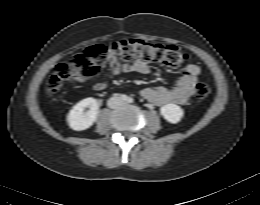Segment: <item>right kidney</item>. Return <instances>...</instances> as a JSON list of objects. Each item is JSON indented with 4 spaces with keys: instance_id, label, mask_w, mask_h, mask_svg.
<instances>
[{
    "instance_id": "right-kidney-1",
    "label": "right kidney",
    "mask_w": 260,
    "mask_h": 205,
    "mask_svg": "<svg viewBox=\"0 0 260 205\" xmlns=\"http://www.w3.org/2000/svg\"><path fill=\"white\" fill-rule=\"evenodd\" d=\"M88 111L84 112V109ZM99 113V105L94 98H86L77 103L67 115V122L75 131L86 130L93 125Z\"/></svg>"
}]
</instances>
